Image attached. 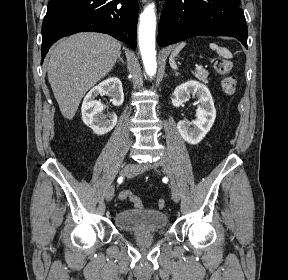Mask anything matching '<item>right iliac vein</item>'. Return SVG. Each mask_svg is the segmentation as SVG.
Returning <instances> with one entry per match:
<instances>
[{"label":"right iliac vein","instance_id":"63e3f726","mask_svg":"<svg viewBox=\"0 0 288 280\" xmlns=\"http://www.w3.org/2000/svg\"><path fill=\"white\" fill-rule=\"evenodd\" d=\"M131 169H132V165H130V164L125 165L121 170V175H125ZM114 192H115L114 185H110L108 187V189L106 190V193H105V198H106L107 202H110L112 200V198L114 197Z\"/></svg>","mask_w":288,"mask_h":280}]
</instances>
